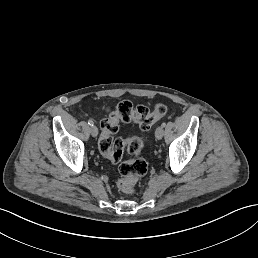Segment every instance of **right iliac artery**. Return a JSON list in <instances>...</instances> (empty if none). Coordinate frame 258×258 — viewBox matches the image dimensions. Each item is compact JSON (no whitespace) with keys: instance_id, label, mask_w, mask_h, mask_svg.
I'll return each instance as SVG.
<instances>
[{"instance_id":"obj_1","label":"right iliac artery","mask_w":258,"mask_h":258,"mask_svg":"<svg viewBox=\"0 0 258 258\" xmlns=\"http://www.w3.org/2000/svg\"><path fill=\"white\" fill-rule=\"evenodd\" d=\"M88 124H89L90 126H93V125H94V122H93L91 119H89V120H88Z\"/></svg>"}]
</instances>
